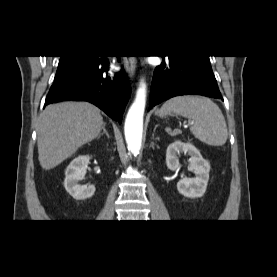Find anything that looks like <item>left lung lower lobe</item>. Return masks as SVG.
I'll list each match as a JSON object with an SVG mask.
<instances>
[{"label":"left lung lower lobe","mask_w":277,"mask_h":277,"mask_svg":"<svg viewBox=\"0 0 277 277\" xmlns=\"http://www.w3.org/2000/svg\"><path fill=\"white\" fill-rule=\"evenodd\" d=\"M153 73L149 109L171 97L197 94L223 100L208 56H162Z\"/></svg>","instance_id":"obj_1"}]
</instances>
